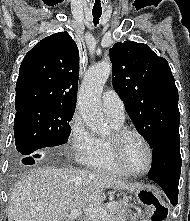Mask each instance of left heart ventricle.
<instances>
[{"instance_id": "obj_1", "label": "left heart ventricle", "mask_w": 190, "mask_h": 221, "mask_svg": "<svg viewBox=\"0 0 190 221\" xmlns=\"http://www.w3.org/2000/svg\"><path fill=\"white\" fill-rule=\"evenodd\" d=\"M122 157L126 166L133 171H143L149 158L146 146L135 135H128L123 140Z\"/></svg>"}]
</instances>
